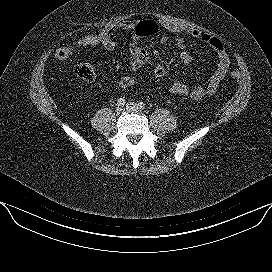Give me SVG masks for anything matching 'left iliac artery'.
I'll use <instances>...</instances> for the list:
<instances>
[{"label":"left iliac artery","instance_id":"44dca946","mask_svg":"<svg viewBox=\"0 0 272 272\" xmlns=\"http://www.w3.org/2000/svg\"><path fill=\"white\" fill-rule=\"evenodd\" d=\"M138 105L141 109H145V104L143 102H139Z\"/></svg>","mask_w":272,"mask_h":272}]
</instances>
